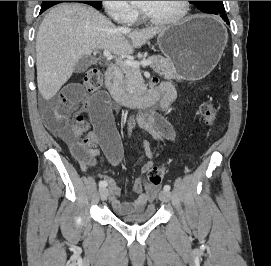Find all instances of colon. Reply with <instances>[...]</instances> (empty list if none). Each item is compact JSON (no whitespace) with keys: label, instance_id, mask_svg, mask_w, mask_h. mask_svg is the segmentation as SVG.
<instances>
[{"label":"colon","instance_id":"1","mask_svg":"<svg viewBox=\"0 0 271 266\" xmlns=\"http://www.w3.org/2000/svg\"><path fill=\"white\" fill-rule=\"evenodd\" d=\"M102 85V75L98 68H90L84 76L83 86L85 90L89 93L96 92ZM200 113L204 117L206 123L210 127L215 126L216 120V108L210 101H204L200 106ZM80 135V132H78ZM81 143L83 145H90L91 139L84 138ZM166 170L162 166H151L147 171V180L152 185H159L164 176Z\"/></svg>","mask_w":271,"mask_h":266}]
</instances>
